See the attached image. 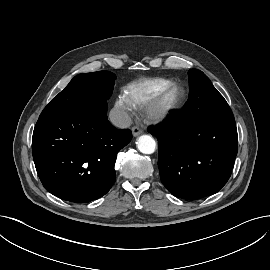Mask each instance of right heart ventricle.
<instances>
[{
  "label": "right heart ventricle",
  "mask_w": 270,
  "mask_h": 270,
  "mask_svg": "<svg viewBox=\"0 0 270 270\" xmlns=\"http://www.w3.org/2000/svg\"><path fill=\"white\" fill-rule=\"evenodd\" d=\"M170 83V80L159 77L138 79L130 82L124 93L132 107L141 109Z\"/></svg>",
  "instance_id": "right-heart-ventricle-1"
}]
</instances>
